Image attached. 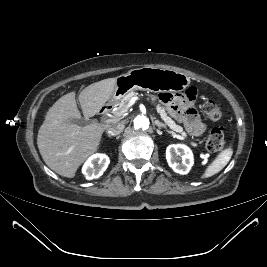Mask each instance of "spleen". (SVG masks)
Listing matches in <instances>:
<instances>
[{
	"label": "spleen",
	"mask_w": 267,
	"mask_h": 267,
	"mask_svg": "<svg viewBox=\"0 0 267 267\" xmlns=\"http://www.w3.org/2000/svg\"><path fill=\"white\" fill-rule=\"evenodd\" d=\"M232 154V148H227L219 153L216 159L206 168L201 178H209L220 172L228 164Z\"/></svg>",
	"instance_id": "1"
}]
</instances>
